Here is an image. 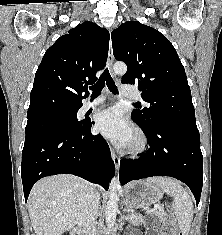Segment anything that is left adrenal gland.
Returning a JSON list of instances; mask_svg holds the SVG:
<instances>
[{"mask_svg": "<svg viewBox=\"0 0 222 235\" xmlns=\"http://www.w3.org/2000/svg\"><path fill=\"white\" fill-rule=\"evenodd\" d=\"M124 211H125V212H128L127 208H124Z\"/></svg>", "mask_w": 222, "mask_h": 235, "instance_id": "a2214340", "label": "left adrenal gland"}]
</instances>
